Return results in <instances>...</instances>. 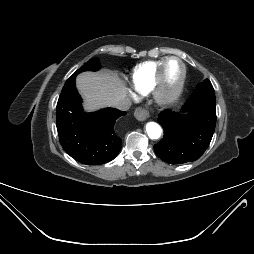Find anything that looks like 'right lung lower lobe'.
Returning <instances> with one entry per match:
<instances>
[{"label": "right lung lower lobe", "mask_w": 254, "mask_h": 254, "mask_svg": "<svg viewBox=\"0 0 254 254\" xmlns=\"http://www.w3.org/2000/svg\"><path fill=\"white\" fill-rule=\"evenodd\" d=\"M75 77L66 81L57 103L56 126L60 143L80 163H107L120 151L122 140L116 132L115 123L126 112L114 108L83 112Z\"/></svg>", "instance_id": "1"}]
</instances>
